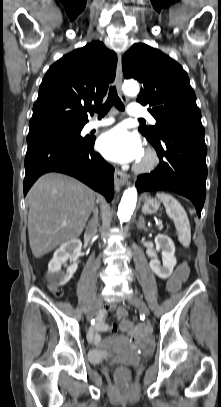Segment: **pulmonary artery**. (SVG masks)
Instances as JSON below:
<instances>
[{
    "instance_id": "pulmonary-artery-1",
    "label": "pulmonary artery",
    "mask_w": 221,
    "mask_h": 407,
    "mask_svg": "<svg viewBox=\"0 0 221 407\" xmlns=\"http://www.w3.org/2000/svg\"><path fill=\"white\" fill-rule=\"evenodd\" d=\"M128 114L133 117H146L150 123L155 124L156 120L139 104H130L127 110ZM114 123V119L93 120L86 125V130L102 128Z\"/></svg>"
}]
</instances>
